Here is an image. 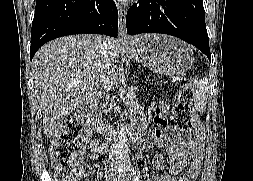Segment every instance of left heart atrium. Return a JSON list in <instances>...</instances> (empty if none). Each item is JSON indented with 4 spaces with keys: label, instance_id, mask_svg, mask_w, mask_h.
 <instances>
[{
    "label": "left heart atrium",
    "instance_id": "obj_1",
    "mask_svg": "<svg viewBox=\"0 0 253 181\" xmlns=\"http://www.w3.org/2000/svg\"><path fill=\"white\" fill-rule=\"evenodd\" d=\"M117 1H119V2H126V1H128V0H117Z\"/></svg>",
    "mask_w": 253,
    "mask_h": 181
}]
</instances>
